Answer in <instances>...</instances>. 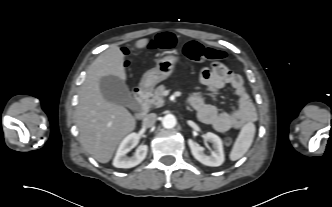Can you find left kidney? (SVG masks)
Segmentation results:
<instances>
[{"instance_id": "left-kidney-1", "label": "left kidney", "mask_w": 332, "mask_h": 207, "mask_svg": "<svg viewBox=\"0 0 332 207\" xmlns=\"http://www.w3.org/2000/svg\"><path fill=\"white\" fill-rule=\"evenodd\" d=\"M205 139L212 142L214 150L210 155L204 153V148L196 145V143L192 140H188V144L191 149V153L196 160L206 166L217 167L220 166L224 162V151L222 140L219 136L214 133L208 132L205 134Z\"/></svg>"}]
</instances>
